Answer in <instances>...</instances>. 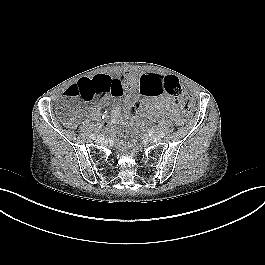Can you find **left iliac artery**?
Returning a JSON list of instances; mask_svg holds the SVG:
<instances>
[{
	"label": "left iliac artery",
	"instance_id": "left-iliac-artery-1",
	"mask_svg": "<svg viewBox=\"0 0 265 265\" xmlns=\"http://www.w3.org/2000/svg\"><path fill=\"white\" fill-rule=\"evenodd\" d=\"M159 135H160L161 137H164V136H165V133H164L163 131H159Z\"/></svg>",
	"mask_w": 265,
	"mask_h": 265
}]
</instances>
